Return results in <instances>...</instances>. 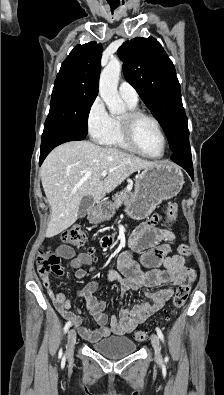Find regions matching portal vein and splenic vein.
<instances>
[{
    "mask_svg": "<svg viewBox=\"0 0 224 395\" xmlns=\"http://www.w3.org/2000/svg\"><path fill=\"white\" fill-rule=\"evenodd\" d=\"M107 174H108L107 171H103V172L101 173V176H102V177H105V176H107Z\"/></svg>",
    "mask_w": 224,
    "mask_h": 395,
    "instance_id": "18ae733b",
    "label": "portal vein and splenic vein"
}]
</instances>
